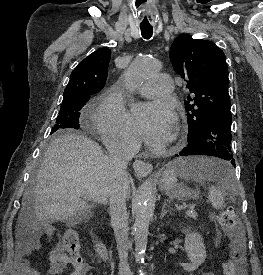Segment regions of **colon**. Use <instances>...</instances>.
<instances>
[{
  "label": "colon",
  "mask_w": 263,
  "mask_h": 275,
  "mask_svg": "<svg viewBox=\"0 0 263 275\" xmlns=\"http://www.w3.org/2000/svg\"><path fill=\"white\" fill-rule=\"evenodd\" d=\"M217 221L231 240L229 244V259L224 264V274L244 275L245 265L240 251L241 236L235 212L232 209H226L217 215ZM63 247L74 265L83 264L80 255L79 237L75 230L69 229L64 233ZM208 274L209 272L203 273V275Z\"/></svg>",
  "instance_id": "colon-1"
}]
</instances>
